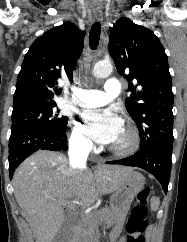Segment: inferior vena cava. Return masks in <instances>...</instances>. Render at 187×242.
I'll use <instances>...</instances> for the list:
<instances>
[{"label":"inferior vena cava","mask_w":187,"mask_h":242,"mask_svg":"<svg viewBox=\"0 0 187 242\" xmlns=\"http://www.w3.org/2000/svg\"><path fill=\"white\" fill-rule=\"evenodd\" d=\"M90 148V144L82 140L71 144L68 152L70 166L72 168L84 166L86 164Z\"/></svg>","instance_id":"inferior-vena-cava-1"}]
</instances>
